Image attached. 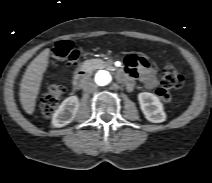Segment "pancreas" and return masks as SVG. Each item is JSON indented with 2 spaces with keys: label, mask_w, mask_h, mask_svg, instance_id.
<instances>
[{
  "label": "pancreas",
  "mask_w": 212,
  "mask_h": 183,
  "mask_svg": "<svg viewBox=\"0 0 212 183\" xmlns=\"http://www.w3.org/2000/svg\"><path fill=\"white\" fill-rule=\"evenodd\" d=\"M99 63L102 64L103 66H106V67L109 66V63L102 62L100 60H95V59L85 61V63H84L83 66H85L86 68H88L89 66H94V65H97Z\"/></svg>",
  "instance_id": "1"
}]
</instances>
